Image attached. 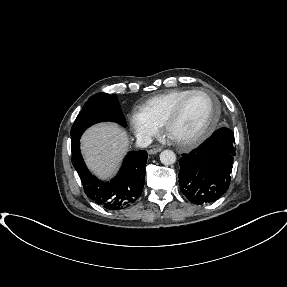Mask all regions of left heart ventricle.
Here are the masks:
<instances>
[{"instance_id":"left-heart-ventricle-1","label":"left heart ventricle","mask_w":287,"mask_h":287,"mask_svg":"<svg viewBox=\"0 0 287 287\" xmlns=\"http://www.w3.org/2000/svg\"><path fill=\"white\" fill-rule=\"evenodd\" d=\"M211 102L202 94L190 97L182 108L176 121L169 129L173 139H183L200 132L209 120Z\"/></svg>"}]
</instances>
